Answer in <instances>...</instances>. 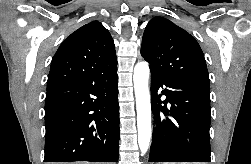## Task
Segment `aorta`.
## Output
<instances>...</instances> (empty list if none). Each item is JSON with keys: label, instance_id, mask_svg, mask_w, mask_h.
I'll return each mask as SVG.
<instances>
[{"label": "aorta", "instance_id": "aorta-1", "mask_svg": "<svg viewBox=\"0 0 251 164\" xmlns=\"http://www.w3.org/2000/svg\"><path fill=\"white\" fill-rule=\"evenodd\" d=\"M150 69L147 62H138L134 67L133 82L136 98L138 144L142 155L149 148L151 139V103L148 88Z\"/></svg>", "mask_w": 251, "mask_h": 164}]
</instances>
